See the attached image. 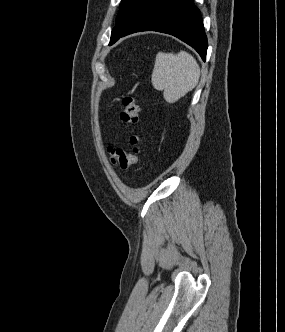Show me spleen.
<instances>
[{"label": "spleen", "mask_w": 285, "mask_h": 332, "mask_svg": "<svg viewBox=\"0 0 285 332\" xmlns=\"http://www.w3.org/2000/svg\"><path fill=\"white\" fill-rule=\"evenodd\" d=\"M200 67L186 51L177 54L159 52L152 73V85L163 91L168 103H175L198 84Z\"/></svg>", "instance_id": "obj_1"}]
</instances>
